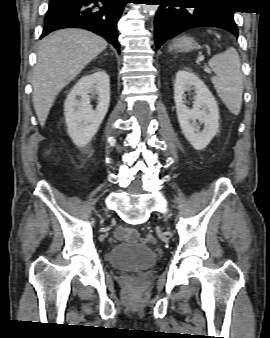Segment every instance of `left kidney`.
I'll list each match as a JSON object with an SVG mask.
<instances>
[{
    "mask_svg": "<svg viewBox=\"0 0 270 338\" xmlns=\"http://www.w3.org/2000/svg\"><path fill=\"white\" fill-rule=\"evenodd\" d=\"M191 88L195 90L196 97L193 108L189 109L184 104L183 95ZM174 101L184 136L196 150L204 149L219 129V109L214 96L197 75L189 69H183L176 73ZM196 120L204 124L201 132Z\"/></svg>",
    "mask_w": 270,
    "mask_h": 338,
    "instance_id": "obj_1",
    "label": "left kidney"
}]
</instances>
